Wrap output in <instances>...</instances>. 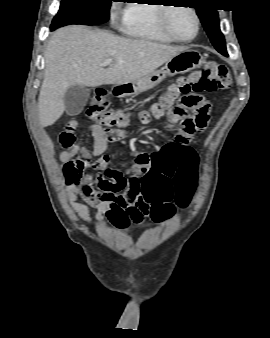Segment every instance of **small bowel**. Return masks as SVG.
<instances>
[{
	"label": "small bowel",
	"mask_w": 270,
	"mask_h": 338,
	"mask_svg": "<svg viewBox=\"0 0 270 338\" xmlns=\"http://www.w3.org/2000/svg\"><path fill=\"white\" fill-rule=\"evenodd\" d=\"M203 105L207 107V116H209L211 105L209 103ZM80 130L79 122L72 120L65 124L59 136L62 146L61 160L66 163L77 160L82 167L81 177L69 188L67 200L84 223L90 222L89 208H94L96 210L94 219L105 230L106 220L111 219L113 210L117 207L113 196L103 187L106 181L104 171L107 170L110 162L106 150L108 143L121 141L123 135L113 131L107 132L96 124H88L87 130L95 141L94 149L89 151L83 147V135H76ZM184 134L188 142L179 146L174 152H167L164 156L153 157L133 151V155L141 159V167L149 170V193L153 198V205L168 206L171 209L169 216L160 220L173 216L176 192L189 187L190 178L198 167L197 153L190 144L194 135ZM77 197H81L84 203L78 202Z\"/></svg>",
	"instance_id": "small-bowel-1"
}]
</instances>
